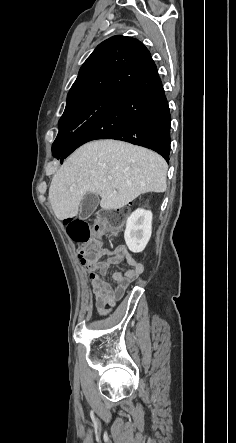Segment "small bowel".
Returning <instances> with one entry per match:
<instances>
[{
  "instance_id": "obj_1",
  "label": "small bowel",
  "mask_w": 236,
  "mask_h": 443,
  "mask_svg": "<svg viewBox=\"0 0 236 443\" xmlns=\"http://www.w3.org/2000/svg\"><path fill=\"white\" fill-rule=\"evenodd\" d=\"M108 255L104 260L96 259L90 262L81 261L88 270V281L93 292V300L100 311L113 307L123 298L130 285L143 272L142 263L137 260L124 246L113 250L102 249L100 255ZM126 262L129 268L124 272L116 271L112 278L115 285H110L104 279L109 267Z\"/></svg>"
}]
</instances>
